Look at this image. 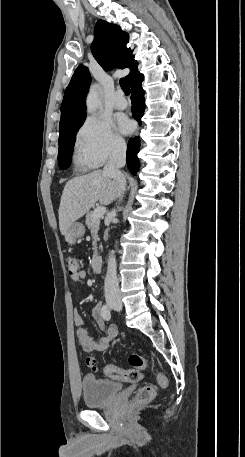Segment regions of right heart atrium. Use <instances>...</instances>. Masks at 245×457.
Listing matches in <instances>:
<instances>
[{
  "label": "right heart atrium",
  "instance_id": "obj_1",
  "mask_svg": "<svg viewBox=\"0 0 245 457\" xmlns=\"http://www.w3.org/2000/svg\"><path fill=\"white\" fill-rule=\"evenodd\" d=\"M77 146L84 150L93 163L102 164L109 157L120 154L125 142L108 119L91 115L79 128Z\"/></svg>",
  "mask_w": 245,
  "mask_h": 457
}]
</instances>
